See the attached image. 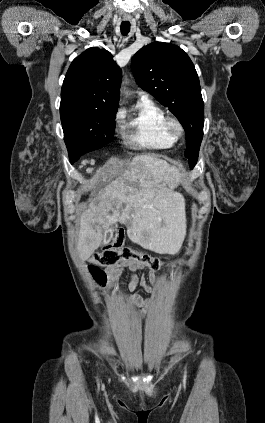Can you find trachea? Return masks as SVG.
<instances>
[{"label": "trachea", "instance_id": "obj_1", "mask_svg": "<svg viewBox=\"0 0 265 423\" xmlns=\"http://www.w3.org/2000/svg\"><path fill=\"white\" fill-rule=\"evenodd\" d=\"M130 31V22L129 21H123L121 23V33L122 35L126 36Z\"/></svg>", "mask_w": 265, "mask_h": 423}]
</instances>
